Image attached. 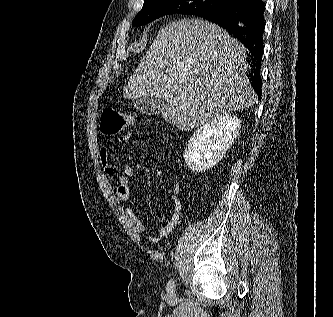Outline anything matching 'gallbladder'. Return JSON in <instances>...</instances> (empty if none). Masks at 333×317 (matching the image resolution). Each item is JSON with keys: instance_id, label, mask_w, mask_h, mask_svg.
Wrapping results in <instances>:
<instances>
[{"instance_id": "1", "label": "gallbladder", "mask_w": 333, "mask_h": 317, "mask_svg": "<svg viewBox=\"0 0 333 317\" xmlns=\"http://www.w3.org/2000/svg\"><path fill=\"white\" fill-rule=\"evenodd\" d=\"M134 107L144 114H159L164 105V98L161 96H144L132 100Z\"/></svg>"}]
</instances>
